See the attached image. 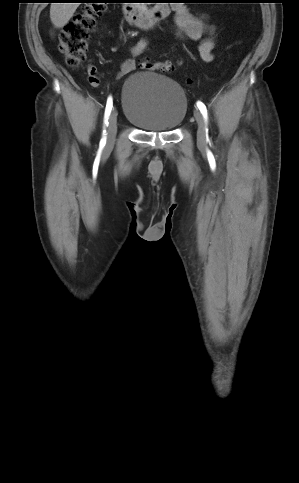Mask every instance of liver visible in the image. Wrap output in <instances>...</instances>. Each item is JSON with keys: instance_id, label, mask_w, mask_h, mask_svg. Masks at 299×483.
Masks as SVG:
<instances>
[{"instance_id": "liver-1", "label": "liver", "mask_w": 299, "mask_h": 483, "mask_svg": "<svg viewBox=\"0 0 299 483\" xmlns=\"http://www.w3.org/2000/svg\"><path fill=\"white\" fill-rule=\"evenodd\" d=\"M80 3H51L50 18L56 28L64 27Z\"/></svg>"}]
</instances>
